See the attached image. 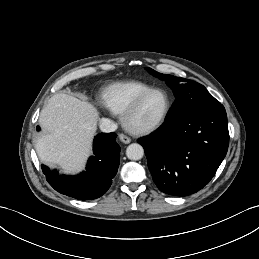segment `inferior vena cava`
I'll list each match as a JSON object with an SVG mask.
<instances>
[{"mask_svg": "<svg viewBox=\"0 0 259 259\" xmlns=\"http://www.w3.org/2000/svg\"><path fill=\"white\" fill-rule=\"evenodd\" d=\"M99 127L102 132L110 133L117 129V124L110 119L102 118L100 119Z\"/></svg>", "mask_w": 259, "mask_h": 259, "instance_id": "obj_1", "label": "inferior vena cava"}]
</instances>
